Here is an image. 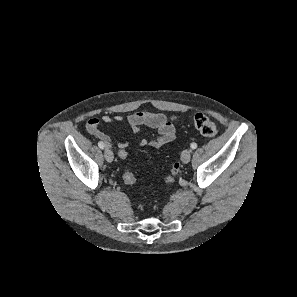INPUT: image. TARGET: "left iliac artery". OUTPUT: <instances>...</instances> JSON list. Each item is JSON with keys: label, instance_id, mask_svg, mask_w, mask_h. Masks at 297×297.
<instances>
[{"label": "left iliac artery", "instance_id": "obj_1", "mask_svg": "<svg viewBox=\"0 0 297 297\" xmlns=\"http://www.w3.org/2000/svg\"><path fill=\"white\" fill-rule=\"evenodd\" d=\"M191 149H196L197 148V144L195 142L190 144Z\"/></svg>", "mask_w": 297, "mask_h": 297}]
</instances>
